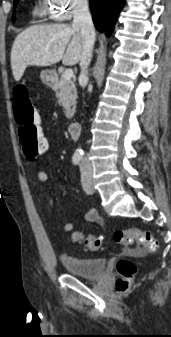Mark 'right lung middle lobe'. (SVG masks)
I'll use <instances>...</instances> for the list:
<instances>
[{
  "mask_svg": "<svg viewBox=\"0 0 171 337\" xmlns=\"http://www.w3.org/2000/svg\"><path fill=\"white\" fill-rule=\"evenodd\" d=\"M19 0H14V7L18 4ZM13 20H15V17H13Z\"/></svg>",
  "mask_w": 171,
  "mask_h": 337,
  "instance_id": "right-lung-middle-lobe-1",
  "label": "right lung middle lobe"
}]
</instances>
